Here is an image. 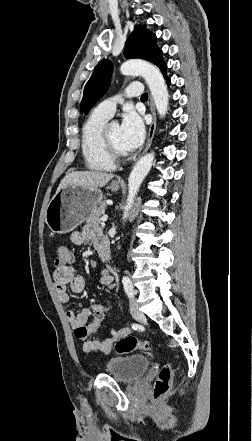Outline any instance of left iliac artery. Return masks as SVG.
Listing matches in <instances>:
<instances>
[{"label": "left iliac artery", "instance_id": "1", "mask_svg": "<svg viewBox=\"0 0 252 441\" xmlns=\"http://www.w3.org/2000/svg\"><path fill=\"white\" fill-rule=\"evenodd\" d=\"M123 287L125 289V292L127 293L128 297L133 296V286L130 281V279L127 276H124L122 278ZM112 333H115V339H118V333L117 330H114V327H111Z\"/></svg>", "mask_w": 252, "mask_h": 441}]
</instances>
